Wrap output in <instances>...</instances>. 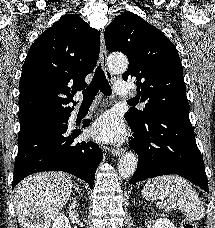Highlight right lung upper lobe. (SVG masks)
<instances>
[{
  "label": "right lung upper lobe",
  "mask_w": 215,
  "mask_h": 228,
  "mask_svg": "<svg viewBox=\"0 0 215 228\" xmlns=\"http://www.w3.org/2000/svg\"><path fill=\"white\" fill-rule=\"evenodd\" d=\"M100 51V36L77 15H66L30 47L19 82L20 123L73 110L75 90L87 86ZM75 103V102H73Z\"/></svg>",
  "instance_id": "1"
}]
</instances>
